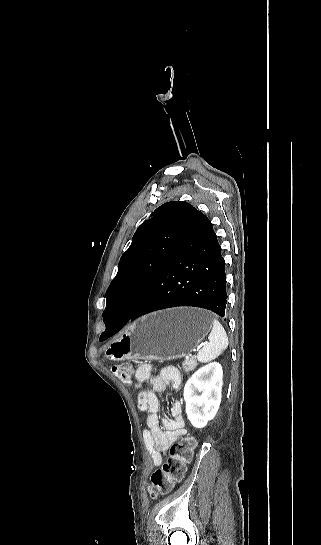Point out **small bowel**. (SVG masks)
I'll return each instance as SVG.
<instances>
[{
	"label": "small bowel",
	"mask_w": 321,
	"mask_h": 545,
	"mask_svg": "<svg viewBox=\"0 0 321 545\" xmlns=\"http://www.w3.org/2000/svg\"><path fill=\"white\" fill-rule=\"evenodd\" d=\"M155 368L151 364H142L136 371V389L138 391V407L147 416V428L143 438L149 450L153 465L159 466L162 457L177 439L186 434L185 421L182 415V404L173 403L170 417L160 419V401L157 393L164 392L167 387L178 389L181 384L179 372L174 367H166L153 375ZM149 382L152 389H145L143 384Z\"/></svg>",
	"instance_id": "c3829d8e"
}]
</instances>
